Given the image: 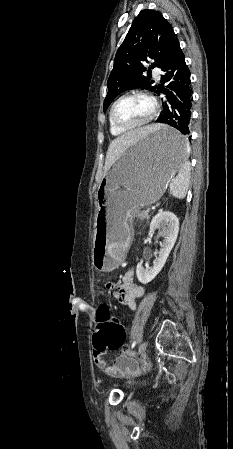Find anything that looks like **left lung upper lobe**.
<instances>
[{"instance_id":"obj_1","label":"left lung upper lobe","mask_w":233,"mask_h":449,"mask_svg":"<svg viewBox=\"0 0 233 449\" xmlns=\"http://www.w3.org/2000/svg\"><path fill=\"white\" fill-rule=\"evenodd\" d=\"M179 49L178 38L162 14L154 10H142L116 53L113 70L107 81L108 93L103 110L125 90L143 88L155 92L153 81L143 75L147 69L142 62L148 63L152 59V68H162Z\"/></svg>"}]
</instances>
